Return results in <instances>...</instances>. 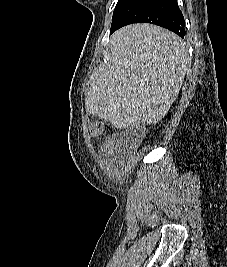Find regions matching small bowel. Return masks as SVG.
Here are the masks:
<instances>
[{
  "label": "small bowel",
  "mask_w": 227,
  "mask_h": 267,
  "mask_svg": "<svg viewBox=\"0 0 227 267\" xmlns=\"http://www.w3.org/2000/svg\"><path fill=\"white\" fill-rule=\"evenodd\" d=\"M113 145H114V143H113V141H111V140H109V141H107L106 143H105V145H104V153L106 154V155H112L113 154Z\"/></svg>",
  "instance_id": "obj_1"
}]
</instances>
